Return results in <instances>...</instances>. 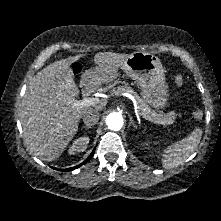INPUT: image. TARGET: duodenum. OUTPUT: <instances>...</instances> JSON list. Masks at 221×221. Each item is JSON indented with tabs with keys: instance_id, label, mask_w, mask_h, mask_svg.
<instances>
[{
	"instance_id": "duodenum-1",
	"label": "duodenum",
	"mask_w": 221,
	"mask_h": 221,
	"mask_svg": "<svg viewBox=\"0 0 221 221\" xmlns=\"http://www.w3.org/2000/svg\"><path fill=\"white\" fill-rule=\"evenodd\" d=\"M83 92H84L85 95H90L91 90L87 85H84Z\"/></svg>"
}]
</instances>
